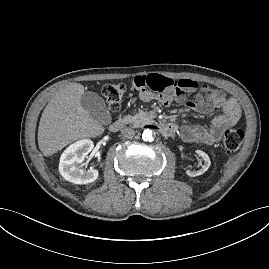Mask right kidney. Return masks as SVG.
<instances>
[{"label":"right kidney","instance_id":"1","mask_svg":"<svg viewBox=\"0 0 269 269\" xmlns=\"http://www.w3.org/2000/svg\"><path fill=\"white\" fill-rule=\"evenodd\" d=\"M94 144L89 139L80 140L70 145L61 155L59 172L61 176L75 184H88L94 182L99 175L98 170L83 171L78 164L92 151Z\"/></svg>","mask_w":269,"mask_h":269}]
</instances>
